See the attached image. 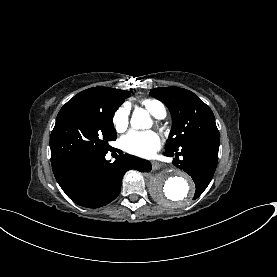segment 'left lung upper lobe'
<instances>
[{
    "label": "left lung upper lobe",
    "mask_w": 277,
    "mask_h": 277,
    "mask_svg": "<svg viewBox=\"0 0 277 277\" xmlns=\"http://www.w3.org/2000/svg\"><path fill=\"white\" fill-rule=\"evenodd\" d=\"M150 95L162 101L172 115V129L166 151L205 136H219L212 110L193 92L178 87L152 89Z\"/></svg>",
    "instance_id": "5c2ea615"
}]
</instances>
